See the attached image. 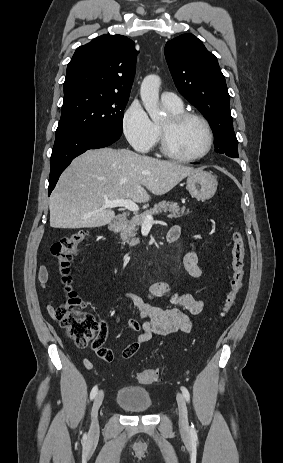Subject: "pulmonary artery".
<instances>
[{
  "label": "pulmonary artery",
  "instance_id": "1",
  "mask_svg": "<svg viewBox=\"0 0 283 463\" xmlns=\"http://www.w3.org/2000/svg\"><path fill=\"white\" fill-rule=\"evenodd\" d=\"M161 100L165 105L170 106V107H180V106H182V101L173 92H169V91L163 92L161 94Z\"/></svg>",
  "mask_w": 283,
  "mask_h": 463
}]
</instances>
